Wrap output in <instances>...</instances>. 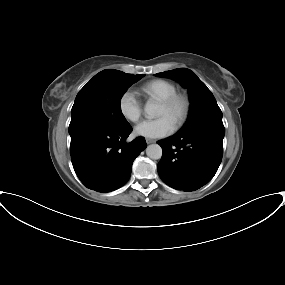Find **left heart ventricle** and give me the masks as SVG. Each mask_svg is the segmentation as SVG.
Instances as JSON below:
<instances>
[{
	"instance_id": "1",
	"label": "left heart ventricle",
	"mask_w": 285,
	"mask_h": 285,
	"mask_svg": "<svg viewBox=\"0 0 285 285\" xmlns=\"http://www.w3.org/2000/svg\"><path fill=\"white\" fill-rule=\"evenodd\" d=\"M180 112L181 105H176L172 108H166L160 104L157 110V116H166L175 124Z\"/></svg>"
}]
</instances>
